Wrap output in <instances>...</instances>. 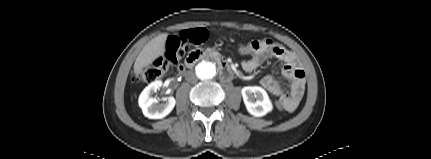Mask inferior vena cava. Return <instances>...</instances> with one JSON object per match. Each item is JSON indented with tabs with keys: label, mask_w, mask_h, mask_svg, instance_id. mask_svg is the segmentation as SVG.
<instances>
[{
	"label": "inferior vena cava",
	"mask_w": 431,
	"mask_h": 159,
	"mask_svg": "<svg viewBox=\"0 0 431 159\" xmlns=\"http://www.w3.org/2000/svg\"><path fill=\"white\" fill-rule=\"evenodd\" d=\"M186 80L187 81H189V82H192V83H196L197 82V77H196V75L194 74V72H192V71H188L187 73H186Z\"/></svg>",
	"instance_id": "inferior-vena-cava-1"
}]
</instances>
